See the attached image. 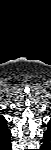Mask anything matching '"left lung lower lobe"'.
Segmentation results:
<instances>
[{"label": "left lung lower lobe", "mask_w": 51, "mask_h": 150, "mask_svg": "<svg viewBox=\"0 0 51 150\" xmlns=\"http://www.w3.org/2000/svg\"><path fill=\"white\" fill-rule=\"evenodd\" d=\"M50 125V124H49ZM51 131L50 130H47L45 133H44V143H43V147H46L47 145H49L50 143V140H51Z\"/></svg>", "instance_id": "left-lung-lower-lobe-1"}]
</instances>
